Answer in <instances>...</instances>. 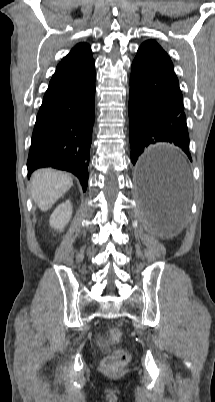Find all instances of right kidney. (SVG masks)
<instances>
[{"label": "right kidney", "instance_id": "1", "mask_svg": "<svg viewBox=\"0 0 215 402\" xmlns=\"http://www.w3.org/2000/svg\"><path fill=\"white\" fill-rule=\"evenodd\" d=\"M72 216V205L69 200L60 204L50 216V226L62 231Z\"/></svg>", "mask_w": 215, "mask_h": 402}]
</instances>
